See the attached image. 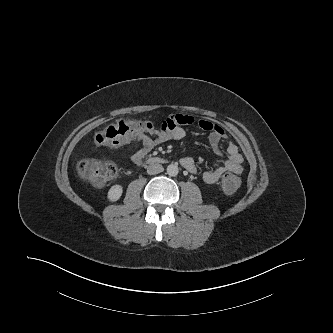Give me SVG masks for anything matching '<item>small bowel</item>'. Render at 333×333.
Returning a JSON list of instances; mask_svg holds the SVG:
<instances>
[{
	"label": "small bowel",
	"mask_w": 333,
	"mask_h": 333,
	"mask_svg": "<svg viewBox=\"0 0 333 333\" xmlns=\"http://www.w3.org/2000/svg\"><path fill=\"white\" fill-rule=\"evenodd\" d=\"M193 121L194 119L188 115H170L162 122L160 130L152 132L150 136L146 135L138 139L142 143V147L132 154V162L134 164H140L153 148L170 140H181L184 138L186 134L184 125L191 124ZM198 126L202 130L209 132V143L216 155L221 156V142L226 138L222 127L207 120H199ZM226 150L227 158L214 169L203 173L202 179L206 184L216 183L226 172L234 174L242 172L243 158L237 144L233 140H227ZM181 164L189 172L193 173L196 171L195 161L192 157H183Z\"/></svg>",
	"instance_id": "c3829d8e"
}]
</instances>
